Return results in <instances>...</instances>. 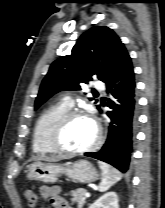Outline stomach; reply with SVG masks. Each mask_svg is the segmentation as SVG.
Masks as SVG:
<instances>
[{
    "mask_svg": "<svg viewBox=\"0 0 165 208\" xmlns=\"http://www.w3.org/2000/svg\"><path fill=\"white\" fill-rule=\"evenodd\" d=\"M62 174L79 183H92L99 178L96 168L86 160L65 164L36 161L27 168V177L30 180L44 183H55Z\"/></svg>",
    "mask_w": 165,
    "mask_h": 208,
    "instance_id": "0dacf381",
    "label": "stomach"
}]
</instances>
